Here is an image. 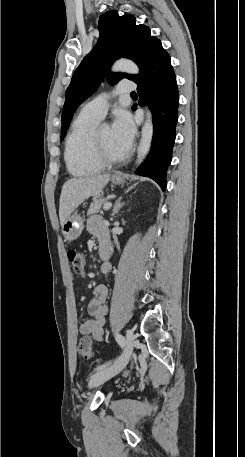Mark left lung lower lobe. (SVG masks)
<instances>
[{
  "mask_svg": "<svg viewBox=\"0 0 245 457\" xmlns=\"http://www.w3.org/2000/svg\"><path fill=\"white\" fill-rule=\"evenodd\" d=\"M134 81L140 96L139 105L148 104L153 116L151 151L136 174L155 180L163 191L166 171L171 162L178 120V87L170 55L162 46L152 52L140 68ZM137 105H133L135 110Z\"/></svg>",
  "mask_w": 245,
  "mask_h": 457,
  "instance_id": "1",
  "label": "left lung lower lobe"
}]
</instances>
